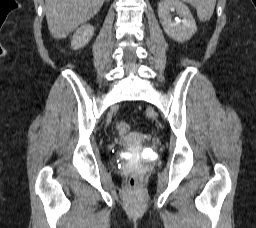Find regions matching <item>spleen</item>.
<instances>
[{"instance_id": "3e777b00", "label": "spleen", "mask_w": 256, "mask_h": 228, "mask_svg": "<svg viewBox=\"0 0 256 228\" xmlns=\"http://www.w3.org/2000/svg\"><path fill=\"white\" fill-rule=\"evenodd\" d=\"M191 4L197 10L199 19L203 22L208 21L213 15L216 0H182Z\"/></svg>"}]
</instances>
